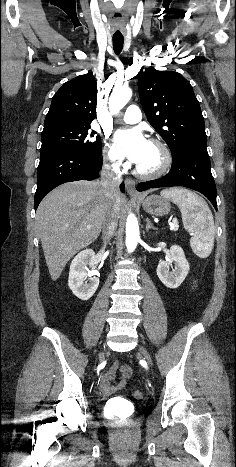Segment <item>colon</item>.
Returning <instances> with one entry per match:
<instances>
[{
	"instance_id": "colon-1",
	"label": "colon",
	"mask_w": 236,
	"mask_h": 467,
	"mask_svg": "<svg viewBox=\"0 0 236 467\" xmlns=\"http://www.w3.org/2000/svg\"><path fill=\"white\" fill-rule=\"evenodd\" d=\"M134 396H135V398H137V399H142L144 395H143V392H141V391H136V392L134 393Z\"/></svg>"
}]
</instances>
